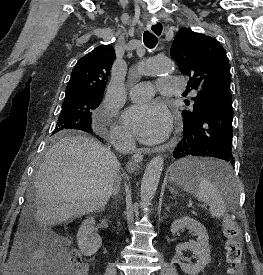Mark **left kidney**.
Segmentation results:
<instances>
[{
  "label": "left kidney",
  "mask_w": 263,
  "mask_h": 275,
  "mask_svg": "<svg viewBox=\"0 0 263 275\" xmlns=\"http://www.w3.org/2000/svg\"><path fill=\"white\" fill-rule=\"evenodd\" d=\"M184 228H187L192 234L196 235L198 237L197 241L178 244L175 248L176 255L172 261L178 263L186 274L198 275L211 261L209 237L203 224L188 216L176 219L171 225V232L175 235ZM186 249L191 250L197 257L198 260L195 264L181 262L179 255Z\"/></svg>",
  "instance_id": "left-kidney-1"
}]
</instances>
